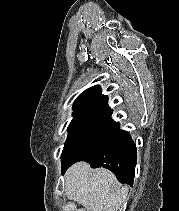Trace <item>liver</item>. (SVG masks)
Listing matches in <instances>:
<instances>
[{
  "mask_svg": "<svg viewBox=\"0 0 179 211\" xmlns=\"http://www.w3.org/2000/svg\"><path fill=\"white\" fill-rule=\"evenodd\" d=\"M128 186H119L107 169H91L85 162L72 165L65 175V193L86 211H118L127 196Z\"/></svg>",
  "mask_w": 179,
  "mask_h": 211,
  "instance_id": "liver-1",
  "label": "liver"
}]
</instances>
